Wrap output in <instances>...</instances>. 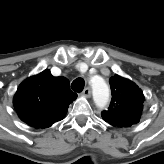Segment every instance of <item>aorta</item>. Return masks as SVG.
Listing matches in <instances>:
<instances>
[{
  "instance_id": "obj_1",
  "label": "aorta",
  "mask_w": 164,
  "mask_h": 164,
  "mask_svg": "<svg viewBox=\"0 0 164 164\" xmlns=\"http://www.w3.org/2000/svg\"><path fill=\"white\" fill-rule=\"evenodd\" d=\"M93 99L100 108L107 106L110 100V91L108 85L103 80L92 81Z\"/></svg>"
}]
</instances>
